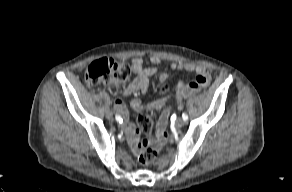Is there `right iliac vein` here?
Masks as SVG:
<instances>
[{
    "mask_svg": "<svg viewBox=\"0 0 292 192\" xmlns=\"http://www.w3.org/2000/svg\"><path fill=\"white\" fill-rule=\"evenodd\" d=\"M106 118H107L108 120H113V114H112V112L108 111V112L106 113Z\"/></svg>",
    "mask_w": 292,
    "mask_h": 192,
    "instance_id": "63e3f726",
    "label": "right iliac vein"
}]
</instances>
